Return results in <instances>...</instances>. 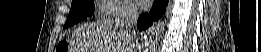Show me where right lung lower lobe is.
Here are the masks:
<instances>
[{"label":"right lung lower lobe","instance_id":"right-lung-lower-lobe-1","mask_svg":"<svg viewBox=\"0 0 261 52\" xmlns=\"http://www.w3.org/2000/svg\"><path fill=\"white\" fill-rule=\"evenodd\" d=\"M167 4L168 0H155L151 11L139 17L137 22L139 30H145L152 25L154 20L157 21L164 14Z\"/></svg>","mask_w":261,"mask_h":52}]
</instances>
